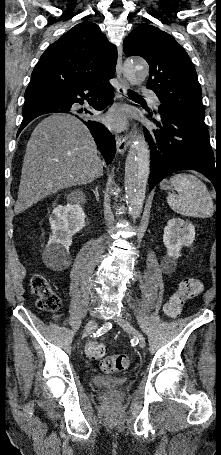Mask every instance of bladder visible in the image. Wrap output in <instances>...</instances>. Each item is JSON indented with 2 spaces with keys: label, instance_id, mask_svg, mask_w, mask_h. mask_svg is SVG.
<instances>
[{
  "label": "bladder",
  "instance_id": "bladder-1",
  "mask_svg": "<svg viewBox=\"0 0 221 455\" xmlns=\"http://www.w3.org/2000/svg\"><path fill=\"white\" fill-rule=\"evenodd\" d=\"M93 384L101 388H118L126 383L125 377H108L95 375L92 378Z\"/></svg>",
  "mask_w": 221,
  "mask_h": 455
}]
</instances>
